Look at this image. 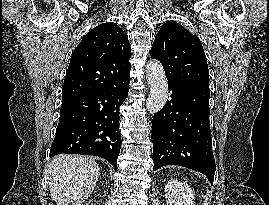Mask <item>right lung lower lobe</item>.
Masks as SVG:
<instances>
[{"mask_svg": "<svg viewBox=\"0 0 269 205\" xmlns=\"http://www.w3.org/2000/svg\"><path fill=\"white\" fill-rule=\"evenodd\" d=\"M129 80L128 72L117 87L62 99L50 157L61 153L94 155L117 168L119 107L128 95Z\"/></svg>", "mask_w": 269, "mask_h": 205, "instance_id": "right-lung-lower-lobe-1", "label": "right lung lower lobe"}]
</instances>
